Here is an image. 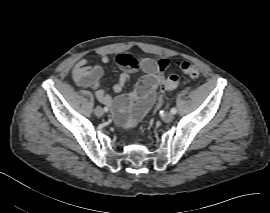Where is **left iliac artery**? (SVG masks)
Here are the masks:
<instances>
[{
	"label": "left iliac artery",
	"mask_w": 270,
	"mask_h": 213,
	"mask_svg": "<svg viewBox=\"0 0 270 213\" xmlns=\"http://www.w3.org/2000/svg\"><path fill=\"white\" fill-rule=\"evenodd\" d=\"M170 112H171L172 114H176V113H177V109L173 107V108L170 110Z\"/></svg>",
	"instance_id": "1"
}]
</instances>
